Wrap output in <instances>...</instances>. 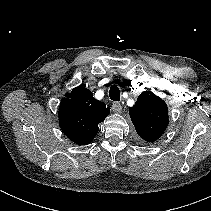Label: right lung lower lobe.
<instances>
[{
    "instance_id": "right-lung-lower-lobe-1",
    "label": "right lung lower lobe",
    "mask_w": 211,
    "mask_h": 211,
    "mask_svg": "<svg viewBox=\"0 0 211 211\" xmlns=\"http://www.w3.org/2000/svg\"><path fill=\"white\" fill-rule=\"evenodd\" d=\"M67 115L68 113H66V108H65V105H60V108H59V117H60V122L63 124V123H66L68 120H67Z\"/></svg>"
}]
</instances>
